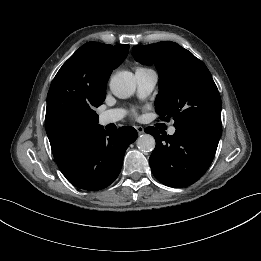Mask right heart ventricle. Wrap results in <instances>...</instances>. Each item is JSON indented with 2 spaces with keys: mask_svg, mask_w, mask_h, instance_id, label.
I'll return each instance as SVG.
<instances>
[{
  "mask_svg": "<svg viewBox=\"0 0 261 261\" xmlns=\"http://www.w3.org/2000/svg\"><path fill=\"white\" fill-rule=\"evenodd\" d=\"M147 70H151V69L145 68V67H137V68H136V72H139V71H147Z\"/></svg>",
  "mask_w": 261,
  "mask_h": 261,
  "instance_id": "1",
  "label": "right heart ventricle"
}]
</instances>
